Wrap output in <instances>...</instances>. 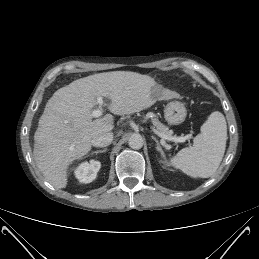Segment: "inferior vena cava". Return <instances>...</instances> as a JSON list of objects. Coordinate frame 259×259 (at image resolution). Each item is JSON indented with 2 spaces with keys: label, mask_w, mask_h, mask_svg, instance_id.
<instances>
[{
  "label": "inferior vena cava",
  "mask_w": 259,
  "mask_h": 259,
  "mask_svg": "<svg viewBox=\"0 0 259 259\" xmlns=\"http://www.w3.org/2000/svg\"><path fill=\"white\" fill-rule=\"evenodd\" d=\"M113 140V133L106 132L92 140V145L95 147H106L111 144Z\"/></svg>",
  "instance_id": "obj_1"
}]
</instances>
